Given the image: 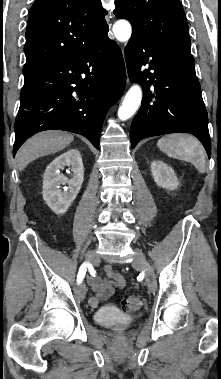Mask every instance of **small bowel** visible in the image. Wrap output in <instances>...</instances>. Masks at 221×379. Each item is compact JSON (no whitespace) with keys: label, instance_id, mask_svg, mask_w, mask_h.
Instances as JSON below:
<instances>
[{"label":"small bowel","instance_id":"1","mask_svg":"<svg viewBox=\"0 0 221 379\" xmlns=\"http://www.w3.org/2000/svg\"><path fill=\"white\" fill-rule=\"evenodd\" d=\"M107 278L99 276L92 277L89 283L95 292V296L89 299V304L96 307L100 300L108 299L115 289H123L125 287V278L116 272L111 265H106L104 268Z\"/></svg>","mask_w":221,"mask_h":379}]
</instances>
